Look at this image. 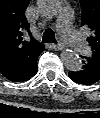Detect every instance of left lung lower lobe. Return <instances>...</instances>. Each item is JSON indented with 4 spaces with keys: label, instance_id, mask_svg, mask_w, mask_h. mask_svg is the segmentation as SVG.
<instances>
[{
    "label": "left lung lower lobe",
    "instance_id": "left-lung-lower-lobe-1",
    "mask_svg": "<svg viewBox=\"0 0 100 118\" xmlns=\"http://www.w3.org/2000/svg\"><path fill=\"white\" fill-rule=\"evenodd\" d=\"M83 67L80 71H70L69 77L78 84L91 85L100 80V63L83 56Z\"/></svg>",
    "mask_w": 100,
    "mask_h": 118
}]
</instances>
